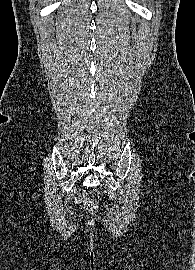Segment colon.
Wrapping results in <instances>:
<instances>
[{"label": "colon", "mask_w": 195, "mask_h": 270, "mask_svg": "<svg viewBox=\"0 0 195 270\" xmlns=\"http://www.w3.org/2000/svg\"><path fill=\"white\" fill-rule=\"evenodd\" d=\"M78 202L80 205L85 207L89 212L95 213L98 209V204L96 201L86 197V196H81L78 198Z\"/></svg>", "instance_id": "5ec220e1"}]
</instances>
